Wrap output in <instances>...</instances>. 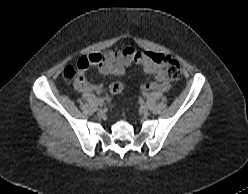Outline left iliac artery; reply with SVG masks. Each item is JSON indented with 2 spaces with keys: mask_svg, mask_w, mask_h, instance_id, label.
<instances>
[{
  "mask_svg": "<svg viewBox=\"0 0 248 194\" xmlns=\"http://www.w3.org/2000/svg\"><path fill=\"white\" fill-rule=\"evenodd\" d=\"M143 96L144 97H148V93H143Z\"/></svg>",
  "mask_w": 248,
  "mask_h": 194,
  "instance_id": "left-iliac-artery-1",
  "label": "left iliac artery"
}]
</instances>
